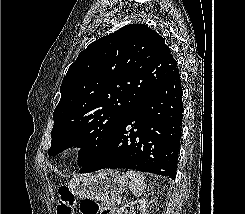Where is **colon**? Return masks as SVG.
<instances>
[{"label":"colon","instance_id":"1","mask_svg":"<svg viewBox=\"0 0 245 214\" xmlns=\"http://www.w3.org/2000/svg\"><path fill=\"white\" fill-rule=\"evenodd\" d=\"M75 196L67 187H60L58 190V201L56 206L57 214H73ZM82 214H114L111 206H102L93 199H83L80 203Z\"/></svg>","mask_w":245,"mask_h":214}]
</instances>
